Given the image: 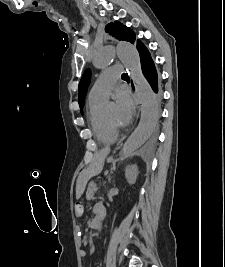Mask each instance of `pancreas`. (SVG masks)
Instances as JSON below:
<instances>
[{"label": "pancreas", "mask_w": 225, "mask_h": 267, "mask_svg": "<svg viewBox=\"0 0 225 267\" xmlns=\"http://www.w3.org/2000/svg\"><path fill=\"white\" fill-rule=\"evenodd\" d=\"M96 186L94 184V182H91L88 186L87 192H86V199L87 200H91L94 198V194L96 192Z\"/></svg>", "instance_id": "obj_1"}]
</instances>
